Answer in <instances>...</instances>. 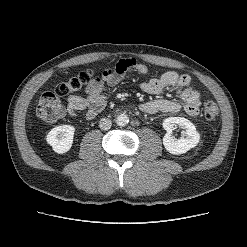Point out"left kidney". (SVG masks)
I'll list each match as a JSON object with an SVG mask.
<instances>
[{
	"label": "left kidney",
	"mask_w": 247,
	"mask_h": 247,
	"mask_svg": "<svg viewBox=\"0 0 247 247\" xmlns=\"http://www.w3.org/2000/svg\"><path fill=\"white\" fill-rule=\"evenodd\" d=\"M185 130V137L175 138L172 131L176 126ZM163 128L167 131L163 137V145L165 149L174 155L186 153L194 148L200 140V135L192 122L183 117H169L164 120Z\"/></svg>",
	"instance_id": "obj_1"
}]
</instances>
